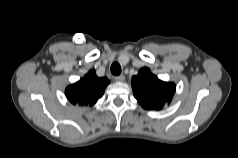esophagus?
I'll return each mask as SVG.
<instances>
[{
    "label": "esophagus",
    "instance_id": "1",
    "mask_svg": "<svg viewBox=\"0 0 238 158\" xmlns=\"http://www.w3.org/2000/svg\"><path fill=\"white\" fill-rule=\"evenodd\" d=\"M114 80L117 82H123L125 80L124 75H118L114 77Z\"/></svg>",
    "mask_w": 238,
    "mask_h": 158
}]
</instances>
